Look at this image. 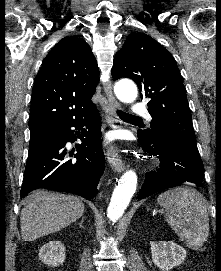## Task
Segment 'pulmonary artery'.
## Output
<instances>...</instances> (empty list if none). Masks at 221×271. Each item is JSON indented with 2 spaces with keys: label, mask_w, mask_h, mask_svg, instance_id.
<instances>
[{
  "label": "pulmonary artery",
  "mask_w": 221,
  "mask_h": 271,
  "mask_svg": "<svg viewBox=\"0 0 221 271\" xmlns=\"http://www.w3.org/2000/svg\"><path fill=\"white\" fill-rule=\"evenodd\" d=\"M131 112H144V102H133Z\"/></svg>",
  "instance_id": "1"
}]
</instances>
